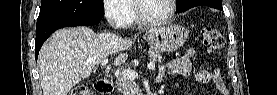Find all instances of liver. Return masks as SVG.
Wrapping results in <instances>:
<instances>
[{"label": "liver", "instance_id": "6515ba94", "mask_svg": "<svg viewBox=\"0 0 277 95\" xmlns=\"http://www.w3.org/2000/svg\"><path fill=\"white\" fill-rule=\"evenodd\" d=\"M134 40L115 34H96L87 27L64 28L56 31L39 52L40 82L43 95H68L93 69L118 53L114 65H122Z\"/></svg>", "mask_w": 277, "mask_h": 95}]
</instances>
